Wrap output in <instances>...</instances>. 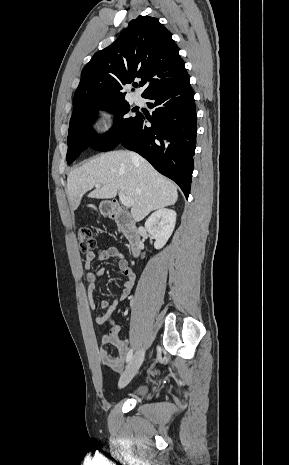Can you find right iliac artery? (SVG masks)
<instances>
[{"instance_id": "obj_1", "label": "right iliac artery", "mask_w": 289, "mask_h": 465, "mask_svg": "<svg viewBox=\"0 0 289 465\" xmlns=\"http://www.w3.org/2000/svg\"><path fill=\"white\" fill-rule=\"evenodd\" d=\"M133 355V349L129 350L127 357H126V362H129L132 358Z\"/></svg>"}]
</instances>
